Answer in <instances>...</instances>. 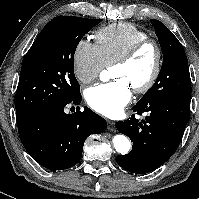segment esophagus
<instances>
[{
	"label": "esophagus",
	"mask_w": 199,
	"mask_h": 199,
	"mask_svg": "<svg viewBox=\"0 0 199 199\" xmlns=\"http://www.w3.org/2000/svg\"><path fill=\"white\" fill-rule=\"evenodd\" d=\"M107 129L110 130V131H113L115 130V127H116V124L114 121H111V120H108L107 121Z\"/></svg>",
	"instance_id": "1"
}]
</instances>
